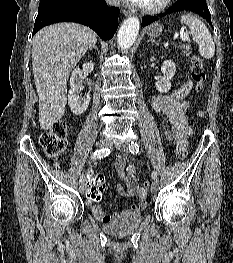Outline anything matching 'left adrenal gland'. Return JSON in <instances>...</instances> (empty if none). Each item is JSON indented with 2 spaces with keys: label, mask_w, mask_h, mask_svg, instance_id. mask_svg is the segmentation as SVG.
I'll return each mask as SVG.
<instances>
[{
  "label": "left adrenal gland",
  "mask_w": 233,
  "mask_h": 263,
  "mask_svg": "<svg viewBox=\"0 0 233 263\" xmlns=\"http://www.w3.org/2000/svg\"><path fill=\"white\" fill-rule=\"evenodd\" d=\"M148 42H152V43H155V44H157V45H158V42H157V41H155L154 39H149V40H148Z\"/></svg>",
  "instance_id": "1"
}]
</instances>
